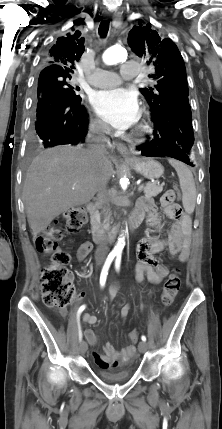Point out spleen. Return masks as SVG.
Listing matches in <instances>:
<instances>
[{
  "label": "spleen",
  "instance_id": "1",
  "mask_svg": "<svg viewBox=\"0 0 222 429\" xmlns=\"http://www.w3.org/2000/svg\"><path fill=\"white\" fill-rule=\"evenodd\" d=\"M168 162L177 172L180 188L182 191L183 207L188 214H192L195 209L197 197L193 174L190 169L182 162L174 159H169Z\"/></svg>",
  "mask_w": 222,
  "mask_h": 429
}]
</instances>
